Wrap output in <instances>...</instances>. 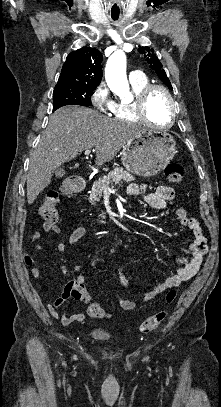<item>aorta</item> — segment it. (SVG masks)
Listing matches in <instances>:
<instances>
[{"label": "aorta", "instance_id": "aorta-1", "mask_svg": "<svg viewBox=\"0 0 221 407\" xmlns=\"http://www.w3.org/2000/svg\"><path fill=\"white\" fill-rule=\"evenodd\" d=\"M105 79L114 94L121 99L131 98L126 76V56L122 51H116L109 57L105 68Z\"/></svg>", "mask_w": 221, "mask_h": 407}]
</instances>
